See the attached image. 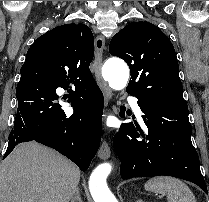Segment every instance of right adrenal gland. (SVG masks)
Masks as SVG:
<instances>
[{
    "label": "right adrenal gland",
    "mask_w": 209,
    "mask_h": 202,
    "mask_svg": "<svg viewBox=\"0 0 209 202\" xmlns=\"http://www.w3.org/2000/svg\"><path fill=\"white\" fill-rule=\"evenodd\" d=\"M77 201L78 202H82V199L80 197V188L79 187H77L76 192H75V195L71 199V202H77Z\"/></svg>",
    "instance_id": "1"
}]
</instances>
